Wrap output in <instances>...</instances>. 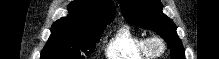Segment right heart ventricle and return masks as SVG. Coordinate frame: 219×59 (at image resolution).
I'll return each instance as SVG.
<instances>
[{"mask_svg":"<svg viewBox=\"0 0 219 59\" xmlns=\"http://www.w3.org/2000/svg\"><path fill=\"white\" fill-rule=\"evenodd\" d=\"M105 54L109 59H152L146 48V38L124 24L108 41Z\"/></svg>","mask_w":219,"mask_h":59,"instance_id":"right-heart-ventricle-1","label":"right heart ventricle"}]
</instances>
